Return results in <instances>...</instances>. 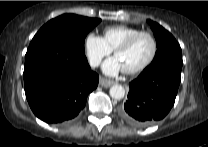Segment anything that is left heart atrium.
<instances>
[{"mask_svg": "<svg viewBox=\"0 0 208 147\" xmlns=\"http://www.w3.org/2000/svg\"><path fill=\"white\" fill-rule=\"evenodd\" d=\"M102 70L107 75H116L123 70L120 61L116 56L107 59L103 65Z\"/></svg>", "mask_w": 208, "mask_h": 147, "instance_id": "1", "label": "left heart atrium"}]
</instances>
